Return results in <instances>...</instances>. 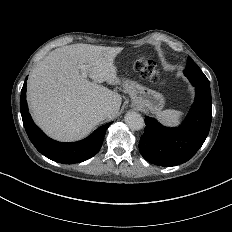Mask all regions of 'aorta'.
<instances>
[{"label": "aorta", "mask_w": 232, "mask_h": 232, "mask_svg": "<svg viewBox=\"0 0 232 232\" xmlns=\"http://www.w3.org/2000/svg\"><path fill=\"white\" fill-rule=\"evenodd\" d=\"M124 119L127 126L132 130H141L145 125L143 117L134 111L126 113Z\"/></svg>", "instance_id": "762f6f07"}]
</instances>
